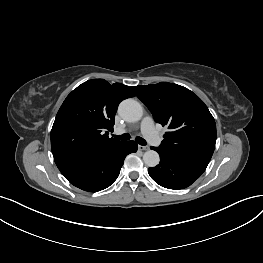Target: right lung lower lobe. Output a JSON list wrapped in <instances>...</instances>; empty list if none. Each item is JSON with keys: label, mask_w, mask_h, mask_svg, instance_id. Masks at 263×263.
I'll return each instance as SVG.
<instances>
[{"label": "right lung lower lobe", "mask_w": 263, "mask_h": 263, "mask_svg": "<svg viewBox=\"0 0 263 263\" xmlns=\"http://www.w3.org/2000/svg\"><path fill=\"white\" fill-rule=\"evenodd\" d=\"M134 141L120 142L82 161L59 168L60 172L74 186L89 192L109 187L119 176L125 157L136 152Z\"/></svg>", "instance_id": "1"}]
</instances>
